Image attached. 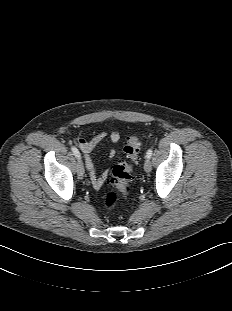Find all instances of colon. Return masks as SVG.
I'll return each mask as SVG.
<instances>
[{"mask_svg":"<svg viewBox=\"0 0 232 311\" xmlns=\"http://www.w3.org/2000/svg\"><path fill=\"white\" fill-rule=\"evenodd\" d=\"M141 149V141L138 136H129L124 144L123 153L130 159L131 163L137 161ZM132 165L126 162H119L111 170L110 184L113 187L103 198L104 206L113 209L118 202L127 196L131 191Z\"/></svg>","mask_w":232,"mask_h":311,"instance_id":"5ec220e1","label":"colon"}]
</instances>
